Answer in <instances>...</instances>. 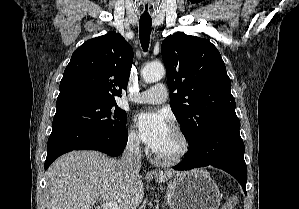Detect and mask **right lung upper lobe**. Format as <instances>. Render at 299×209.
<instances>
[{
  "mask_svg": "<svg viewBox=\"0 0 299 209\" xmlns=\"http://www.w3.org/2000/svg\"><path fill=\"white\" fill-rule=\"evenodd\" d=\"M133 49L118 33L90 39L74 51L60 82L56 104L115 102L126 89Z\"/></svg>",
  "mask_w": 299,
  "mask_h": 209,
  "instance_id": "cb5924a9",
  "label": "right lung upper lobe"
}]
</instances>
